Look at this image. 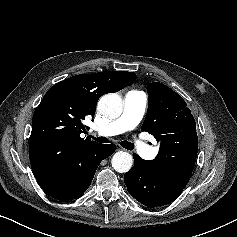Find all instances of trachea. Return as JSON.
Instances as JSON below:
<instances>
[{"label":"trachea","instance_id":"trachea-1","mask_svg":"<svg viewBox=\"0 0 237 237\" xmlns=\"http://www.w3.org/2000/svg\"><path fill=\"white\" fill-rule=\"evenodd\" d=\"M95 141L100 142V143H109V140L106 137H92ZM120 145L124 147L125 149L128 150H133L134 144L128 142V141H121Z\"/></svg>","mask_w":237,"mask_h":237}]
</instances>
